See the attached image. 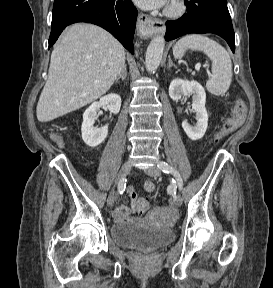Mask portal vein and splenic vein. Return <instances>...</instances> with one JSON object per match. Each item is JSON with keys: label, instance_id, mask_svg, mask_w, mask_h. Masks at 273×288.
Instances as JSON below:
<instances>
[{"label": "portal vein and splenic vein", "instance_id": "18ae733b", "mask_svg": "<svg viewBox=\"0 0 273 288\" xmlns=\"http://www.w3.org/2000/svg\"><path fill=\"white\" fill-rule=\"evenodd\" d=\"M200 68V64H197L196 69L198 70Z\"/></svg>", "mask_w": 273, "mask_h": 288}]
</instances>
